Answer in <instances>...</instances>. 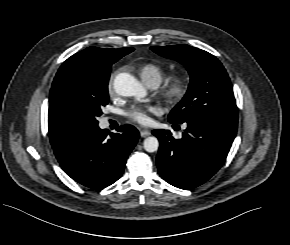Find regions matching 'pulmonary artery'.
Instances as JSON below:
<instances>
[{
	"instance_id": "pulmonary-artery-1",
	"label": "pulmonary artery",
	"mask_w": 290,
	"mask_h": 245,
	"mask_svg": "<svg viewBox=\"0 0 290 245\" xmlns=\"http://www.w3.org/2000/svg\"><path fill=\"white\" fill-rule=\"evenodd\" d=\"M158 85H159L158 82H151V83L148 84V86H150V87H152V88H155V87H157Z\"/></svg>"
}]
</instances>
